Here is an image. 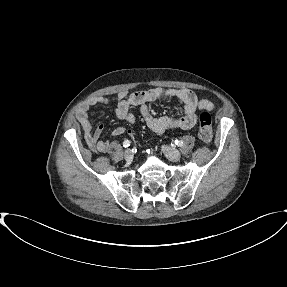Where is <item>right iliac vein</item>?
<instances>
[{"label": "right iliac vein", "mask_w": 287, "mask_h": 287, "mask_svg": "<svg viewBox=\"0 0 287 287\" xmlns=\"http://www.w3.org/2000/svg\"><path fill=\"white\" fill-rule=\"evenodd\" d=\"M124 158L127 160V161H131L133 159V154H132V151L130 149H127L125 150L124 152Z\"/></svg>", "instance_id": "obj_1"}]
</instances>
